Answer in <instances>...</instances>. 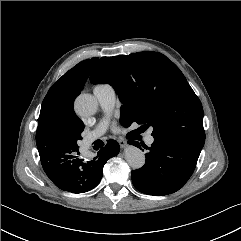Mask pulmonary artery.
Here are the masks:
<instances>
[{
    "mask_svg": "<svg viewBox=\"0 0 241 241\" xmlns=\"http://www.w3.org/2000/svg\"><path fill=\"white\" fill-rule=\"evenodd\" d=\"M93 93L105 114H110L114 108L116 100V93L114 88L106 84L97 85L95 86ZM105 129L106 122L103 121L95 130L88 134L85 141L86 145H89L90 143L98 139L105 132ZM153 142L154 138L151 135V132H149L146 137V143L148 145H151Z\"/></svg>",
    "mask_w": 241,
    "mask_h": 241,
    "instance_id": "pulmonary-artery-1",
    "label": "pulmonary artery"
}]
</instances>
